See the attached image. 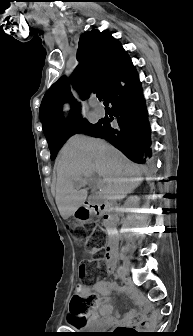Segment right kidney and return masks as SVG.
<instances>
[{
    "label": "right kidney",
    "mask_w": 193,
    "mask_h": 336,
    "mask_svg": "<svg viewBox=\"0 0 193 336\" xmlns=\"http://www.w3.org/2000/svg\"><path fill=\"white\" fill-rule=\"evenodd\" d=\"M139 202V198L137 196H132V197H129L126 202H125V205L130 207V206H134V205H137Z\"/></svg>",
    "instance_id": "ca27d5eb"
}]
</instances>
